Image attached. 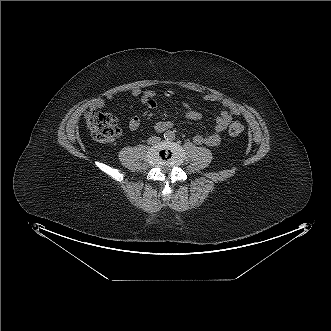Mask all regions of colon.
I'll list each match as a JSON object with an SVG mask.
<instances>
[{"label":"colon","mask_w":331,"mask_h":331,"mask_svg":"<svg viewBox=\"0 0 331 331\" xmlns=\"http://www.w3.org/2000/svg\"><path fill=\"white\" fill-rule=\"evenodd\" d=\"M85 120L93 138L99 142H111L120 134L117 120L109 112L90 108L85 114ZM243 130V124L238 119L232 118L228 126L229 134L234 137L239 136Z\"/></svg>","instance_id":"colon-1"}]
</instances>
